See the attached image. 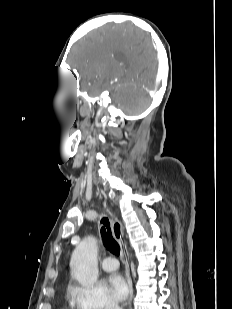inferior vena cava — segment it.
Wrapping results in <instances>:
<instances>
[{
    "label": "inferior vena cava",
    "instance_id": "inferior-vena-cava-1",
    "mask_svg": "<svg viewBox=\"0 0 232 309\" xmlns=\"http://www.w3.org/2000/svg\"><path fill=\"white\" fill-rule=\"evenodd\" d=\"M105 309H121V308H119V306L117 305L116 302H114L113 300H110V301L107 303Z\"/></svg>",
    "mask_w": 232,
    "mask_h": 309
}]
</instances>
